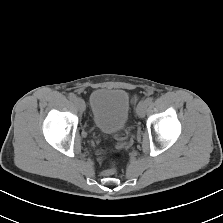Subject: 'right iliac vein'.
<instances>
[{
	"mask_svg": "<svg viewBox=\"0 0 223 223\" xmlns=\"http://www.w3.org/2000/svg\"><path fill=\"white\" fill-rule=\"evenodd\" d=\"M74 102H75V105L77 106V108H78L81 112H83V111L85 110V102H84L83 99H81V98H76Z\"/></svg>",
	"mask_w": 223,
	"mask_h": 223,
	"instance_id": "right-iliac-vein-1",
	"label": "right iliac vein"
}]
</instances>
